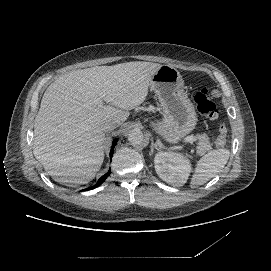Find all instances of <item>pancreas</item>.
Here are the masks:
<instances>
[{
    "label": "pancreas",
    "mask_w": 271,
    "mask_h": 271,
    "mask_svg": "<svg viewBox=\"0 0 271 271\" xmlns=\"http://www.w3.org/2000/svg\"><path fill=\"white\" fill-rule=\"evenodd\" d=\"M197 138L200 140L198 143L197 153L203 154L211 149V141L206 137V135H197Z\"/></svg>",
    "instance_id": "1"
}]
</instances>
